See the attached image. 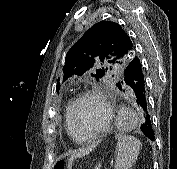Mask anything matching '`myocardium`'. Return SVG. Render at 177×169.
<instances>
[{"instance_id": "myocardium-1", "label": "myocardium", "mask_w": 177, "mask_h": 169, "mask_svg": "<svg viewBox=\"0 0 177 169\" xmlns=\"http://www.w3.org/2000/svg\"><path fill=\"white\" fill-rule=\"evenodd\" d=\"M89 97H93V98H96L99 100V102L101 103V106L104 109L105 118H104L102 125L95 132H93L89 135L80 136L78 133V130H77V125H76L77 109H78V106L80 105V103L85 98H89ZM112 117H113L112 108H111L107 98L105 97V95L102 92H100L97 89H85V90L80 91L76 95L74 101L72 102L71 111H70V121H71V126L73 129V132L79 141L92 140V139H95L98 136L104 134L109 129V127L111 125Z\"/></svg>"}]
</instances>
